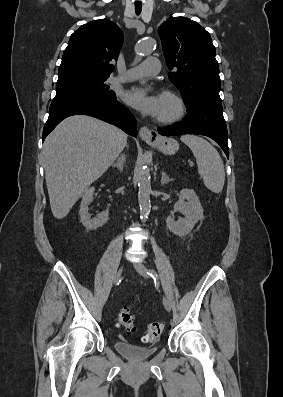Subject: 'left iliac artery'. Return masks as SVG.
Masks as SVG:
<instances>
[{"label": "left iliac artery", "instance_id": "left-iliac-artery-1", "mask_svg": "<svg viewBox=\"0 0 283 397\" xmlns=\"http://www.w3.org/2000/svg\"><path fill=\"white\" fill-rule=\"evenodd\" d=\"M148 274L154 279V281H158L159 280V275L157 274L156 271L154 270H149Z\"/></svg>", "mask_w": 283, "mask_h": 397}]
</instances>
